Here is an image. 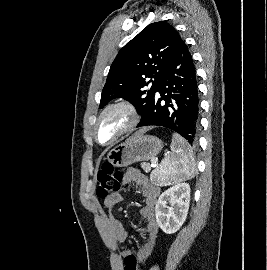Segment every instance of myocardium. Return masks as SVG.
Segmentation results:
<instances>
[{
  "label": "myocardium",
  "mask_w": 267,
  "mask_h": 270,
  "mask_svg": "<svg viewBox=\"0 0 267 270\" xmlns=\"http://www.w3.org/2000/svg\"><path fill=\"white\" fill-rule=\"evenodd\" d=\"M119 108L125 110L128 113L129 122L126 125V127L119 134H117L112 140L105 142V143H102L98 137L99 123L106 113H108L111 110L119 109ZM139 119H140V116H139L138 110H137L136 106L133 103H131L130 101L120 100V101L110 103L100 111V113L96 119V122L94 124V130H93L94 138L100 145H103V146L112 145V144L116 143L118 140H120L123 136L130 133L138 124Z\"/></svg>",
  "instance_id": "1"
}]
</instances>
